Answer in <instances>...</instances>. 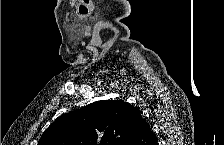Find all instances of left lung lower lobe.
<instances>
[{
	"label": "left lung lower lobe",
	"instance_id": "obj_1",
	"mask_svg": "<svg viewBox=\"0 0 224 145\" xmlns=\"http://www.w3.org/2000/svg\"><path fill=\"white\" fill-rule=\"evenodd\" d=\"M130 145H157V140L149 124L142 118L139 128Z\"/></svg>",
	"mask_w": 224,
	"mask_h": 145
}]
</instances>
